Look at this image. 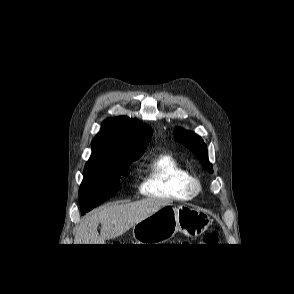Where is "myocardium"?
<instances>
[{
    "label": "myocardium",
    "instance_id": "obj_1",
    "mask_svg": "<svg viewBox=\"0 0 294 294\" xmlns=\"http://www.w3.org/2000/svg\"><path fill=\"white\" fill-rule=\"evenodd\" d=\"M186 187L190 195H197L202 190V183L198 177L190 175Z\"/></svg>",
    "mask_w": 294,
    "mask_h": 294
}]
</instances>
